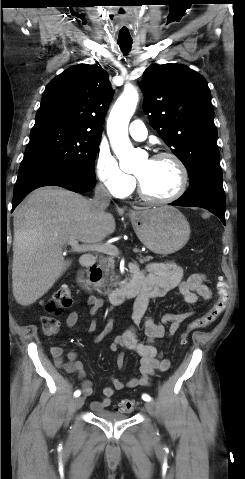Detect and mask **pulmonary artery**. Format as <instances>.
I'll return each mask as SVG.
<instances>
[{
  "instance_id": "pulmonary-artery-1",
  "label": "pulmonary artery",
  "mask_w": 245,
  "mask_h": 479,
  "mask_svg": "<svg viewBox=\"0 0 245 479\" xmlns=\"http://www.w3.org/2000/svg\"><path fill=\"white\" fill-rule=\"evenodd\" d=\"M129 134L133 139L142 141L147 137L148 131L142 121L134 120L129 125Z\"/></svg>"
}]
</instances>
